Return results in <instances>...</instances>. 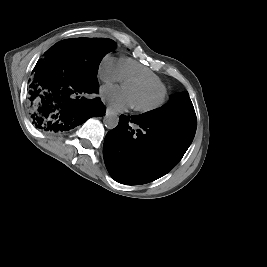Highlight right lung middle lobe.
<instances>
[{"label": "right lung middle lobe", "mask_w": 267, "mask_h": 267, "mask_svg": "<svg viewBox=\"0 0 267 267\" xmlns=\"http://www.w3.org/2000/svg\"><path fill=\"white\" fill-rule=\"evenodd\" d=\"M115 47L116 43L107 38H71L52 46L45 59L57 61L85 84H96L102 58Z\"/></svg>", "instance_id": "dd1d6c3e"}]
</instances>
